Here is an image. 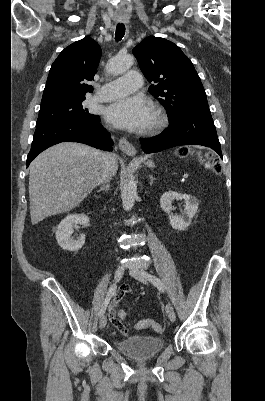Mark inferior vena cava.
<instances>
[{"label":"inferior vena cava","instance_id":"1","mask_svg":"<svg viewBox=\"0 0 265 401\" xmlns=\"http://www.w3.org/2000/svg\"><path fill=\"white\" fill-rule=\"evenodd\" d=\"M104 158H105V166L104 170L99 178V182H107L109 178H111L113 174V166L115 162V156L111 154V152H104Z\"/></svg>","mask_w":265,"mask_h":401}]
</instances>
